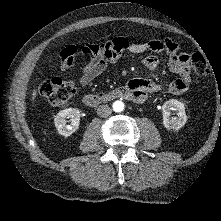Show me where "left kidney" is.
I'll use <instances>...</instances> for the list:
<instances>
[{"label": "left kidney", "instance_id": "5707ae66", "mask_svg": "<svg viewBox=\"0 0 221 221\" xmlns=\"http://www.w3.org/2000/svg\"><path fill=\"white\" fill-rule=\"evenodd\" d=\"M172 111H176L175 117L170 118ZM163 125L168 130H179L187 122V115L185 112V104L177 99H171L162 106Z\"/></svg>", "mask_w": 221, "mask_h": 221}]
</instances>
